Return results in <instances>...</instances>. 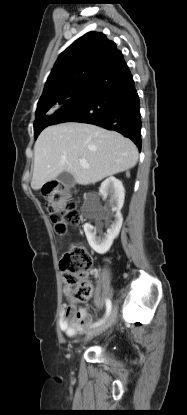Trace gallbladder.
Wrapping results in <instances>:
<instances>
[{
    "mask_svg": "<svg viewBox=\"0 0 187 415\" xmlns=\"http://www.w3.org/2000/svg\"><path fill=\"white\" fill-rule=\"evenodd\" d=\"M57 181L69 188L75 186L76 184L73 175L69 172L60 173L57 177Z\"/></svg>",
    "mask_w": 187,
    "mask_h": 415,
    "instance_id": "1",
    "label": "gallbladder"
}]
</instances>
